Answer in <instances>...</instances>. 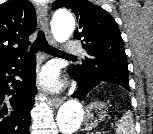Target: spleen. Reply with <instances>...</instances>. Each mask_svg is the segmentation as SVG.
Listing matches in <instances>:
<instances>
[{"instance_id":"obj_1","label":"spleen","mask_w":153,"mask_h":134,"mask_svg":"<svg viewBox=\"0 0 153 134\" xmlns=\"http://www.w3.org/2000/svg\"><path fill=\"white\" fill-rule=\"evenodd\" d=\"M116 134H135L133 114L131 111L125 112L116 124Z\"/></svg>"}]
</instances>
